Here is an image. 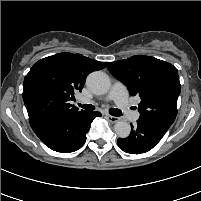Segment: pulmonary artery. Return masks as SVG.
<instances>
[{
    "mask_svg": "<svg viewBox=\"0 0 201 201\" xmlns=\"http://www.w3.org/2000/svg\"><path fill=\"white\" fill-rule=\"evenodd\" d=\"M106 101H114L129 121L136 122L139 119V112L130 109L127 89L123 83L116 81L112 85Z\"/></svg>",
    "mask_w": 201,
    "mask_h": 201,
    "instance_id": "obj_1",
    "label": "pulmonary artery"
}]
</instances>
